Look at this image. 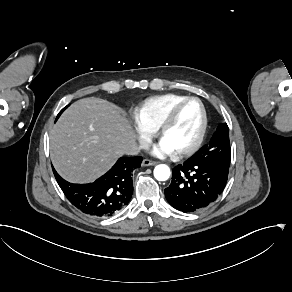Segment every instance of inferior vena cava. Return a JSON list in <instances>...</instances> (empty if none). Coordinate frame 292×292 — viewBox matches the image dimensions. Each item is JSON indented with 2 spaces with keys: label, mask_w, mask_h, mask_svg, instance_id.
<instances>
[{
  "label": "inferior vena cava",
  "mask_w": 292,
  "mask_h": 292,
  "mask_svg": "<svg viewBox=\"0 0 292 292\" xmlns=\"http://www.w3.org/2000/svg\"><path fill=\"white\" fill-rule=\"evenodd\" d=\"M148 145H149L148 142H145V143L140 144L138 147L135 146L131 151H129L128 154H136L138 150L141 148L147 149Z\"/></svg>",
  "instance_id": "602c4592"
}]
</instances>
